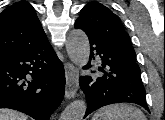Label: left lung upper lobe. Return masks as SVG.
<instances>
[{"label": "left lung upper lobe", "mask_w": 165, "mask_h": 120, "mask_svg": "<svg viewBox=\"0 0 165 120\" xmlns=\"http://www.w3.org/2000/svg\"><path fill=\"white\" fill-rule=\"evenodd\" d=\"M75 23L139 68L129 35L124 30L120 18L106 6L98 2H89L80 11V16Z\"/></svg>", "instance_id": "5c2ea615"}]
</instances>
